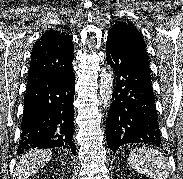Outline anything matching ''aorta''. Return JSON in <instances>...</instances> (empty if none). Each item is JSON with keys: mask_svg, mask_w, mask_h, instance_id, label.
I'll list each match as a JSON object with an SVG mask.
<instances>
[{"mask_svg": "<svg viewBox=\"0 0 183 179\" xmlns=\"http://www.w3.org/2000/svg\"><path fill=\"white\" fill-rule=\"evenodd\" d=\"M114 74L111 67H106L100 75L99 96L105 111H109L112 102Z\"/></svg>", "mask_w": 183, "mask_h": 179, "instance_id": "1", "label": "aorta"}]
</instances>
